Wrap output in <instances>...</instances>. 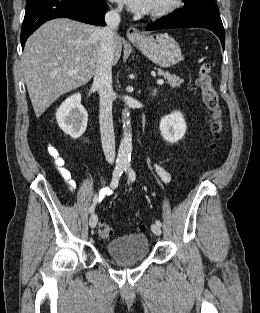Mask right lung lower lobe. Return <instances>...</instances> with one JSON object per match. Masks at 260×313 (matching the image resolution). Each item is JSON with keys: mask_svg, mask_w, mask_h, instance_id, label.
Returning a JSON list of instances; mask_svg holds the SVG:
<instances>
[{"mask_svg": "<svg viewBox=\"0 0 260 313\" xmlns=\"http://www.w3.org/2000/svg\"><path fill=\"white\" fill-rule=\"evenodd\" d=\"M108 5L103 0H27L21 29L22 48L27 38L44 22L67 17L88 24L105 26Z\"/></svg>", "mask_w": 260, "mask_h": 313, "instance_id": "1", "label": "right lung lower lobe"}]
</instances>
